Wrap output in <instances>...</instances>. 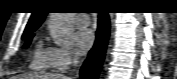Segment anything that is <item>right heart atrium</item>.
<instances>
[{
	"mask_svg": "<svg viewBox=\"0 0 177 79\" xmlns=\"http://www.w3.org/2000/svg\"><path fill=\"white\" fill-rule=\"evenodd\" d=\"M51 66L58 71L65 72L77 63V56L67 48L50 47Z\"/></svg>",
	"mask_w": 177,
	"mask_h": 79,
	"instance_id": "right-heart-atrium-1",
	"label": "right heart atrium"
}]
</instances>
